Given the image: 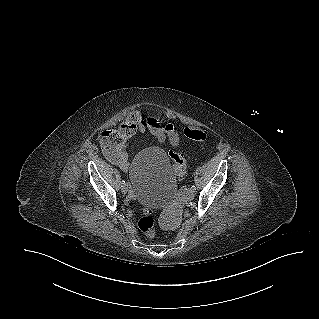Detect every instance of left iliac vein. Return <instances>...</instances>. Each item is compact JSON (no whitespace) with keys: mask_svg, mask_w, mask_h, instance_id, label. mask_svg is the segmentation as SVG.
Returning <instances> with one entry per match:
<instances>
[{"mask_svg":"<svg viewBox=\"0 0 319 319\" xmlns=\"http://www.w3.org/2000/svg\"><path fill=\"white\" fill-rule=\"evenodd\" d=\"M194 190H192V189H189L187 192H186V198L187 199H189V200H191V199H193L194 198Z\"/></svg>","mask_w":319,"mask_h":319,"instance_id":"left-iliac-vein-1","label":"left iliac vein"}]
</instances>
